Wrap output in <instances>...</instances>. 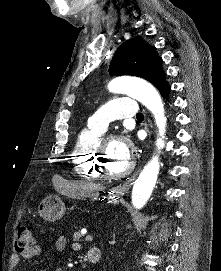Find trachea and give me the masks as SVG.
<instances>
[{"label": "trachea", "instance_id": "1", "mask_svg": "<svg viewBox=\"0 0 221 271\" xmlns=\"http://www.w3.org/2000/svg\"><path fill=\"white\" fill-rule=\"evenodd\" d=\"M136 118H137V120L143 121V118H144L143 113H137Z\"/></svg>", "mask_w": 221, "mask_h": 271}]
</instances>
